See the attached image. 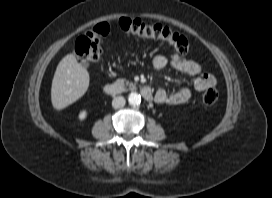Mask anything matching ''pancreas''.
Masks as SVG:
<instances>
[{"label": "pancreas", "mask_w": 272, "mask_h": 198, "mask_svg": "<svg viewBox=\"0 0 272 198\" xmlns=\"http://www.w3.org/2000/svg\"><path fill=\"white\" fill-rule=\"evenodd\" d=\"M115 85L119 86V87H128L130 90L136 89V84L132 83L126 79H117L115 82Z\"/></svg>", "instance_id": "obj_1"}]
</instances>
